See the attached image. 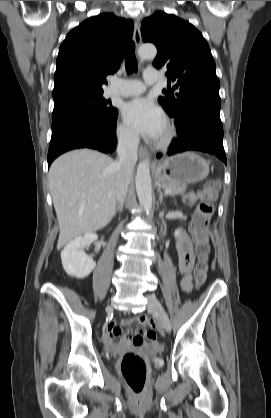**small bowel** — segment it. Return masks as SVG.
<instances>
[{
	"label": "small bowel",
	"instance_id": "c3829d8e",
	"mask_svg": "<svg viewBox=\"0 0 271 418\" xmlns=\"http://www.w3.org/2000/svg\"><path fill=\"white\" fill-rule=\"evenodd\" d=\"M177 251L179 270L183 275L181 288L185 293H188L192 288L191 273L194 267V253L192 243L184 232H181L178 236ZM135 322H140L139 318H125L120 325L114 322L110 323L103 336L105 348L110 352H118L123 346L142 348L144 337L147 336V332L144 329H138L135 335L132 332H128L119 344L114 341L116 337L122 334V326H131ZM151 340L153 347L157 348L158 344L155 338Z\"/></svg>",
	"mask_w": 271,
	"mask_h": 418
}]
</instances>
